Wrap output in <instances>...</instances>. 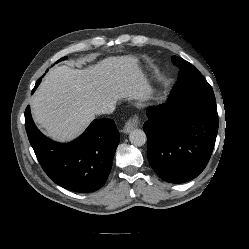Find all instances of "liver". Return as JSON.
I'll use <instances>...</instances> for the list:
<instances>
[{
    "label": "liver",
    "instance_id": "1",
    "mask_svg": "<svg viewBox=\"0 0 249 249\" xmlns=\"http://www.w3.org/2000/svg\"><path fill=\"white\" fill-rule=\"evenodd\" d=\"M147 84L133 56L108 57L83 70L50 71L31 99L33 118L46 134L71 141L91 123L104 103L142 99Z\"/></svg>",
    "mask_w": 249,
    "mask_h": 249
}]
</instances>
